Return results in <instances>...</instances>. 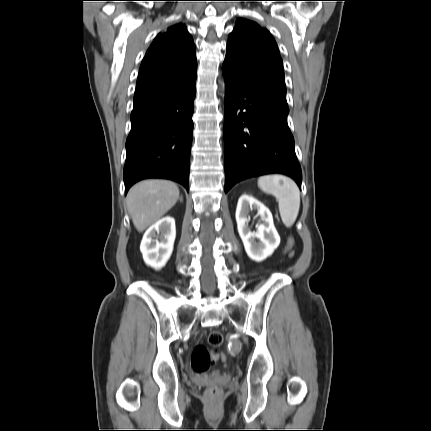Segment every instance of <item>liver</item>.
<instances>
[{
    "instance_id": "liver-1",
    "label": "liver",
    "mask_w": 431,
    "mask_h": 431,
    "mask_svg": "<svg viewBox=\"0 0 431 431\" xmlns=\"http://www.w3.org/2000/svg\"><path fill=\"white\" fill-rule=\"evenodd\" d=\"M179 188L167 180H144L128 192L126 203L135 228L143 232L177 202Z\"/></svg>"
}]
</instances>
